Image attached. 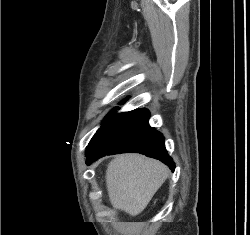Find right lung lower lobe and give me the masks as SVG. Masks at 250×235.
Here are the masks:
<instances>
[{"mask_svg":"<svg viewBox=\"0 0 250 235\" xmlns=\"http://www.w3.org/2000/svg\"><path fill=\"white\" fill-rule=\"evenodd\" d=\"M149 117V111L142 108L105 121L87 147V164L105 155L133 152L159 159L174 171L175 164L166 151L164 137L149 126Z\"/></svg>","mask_w":250,"mask_h":235,"instance_id":"98d812e1","label":"right lung lower lobe"}]
</instances>
